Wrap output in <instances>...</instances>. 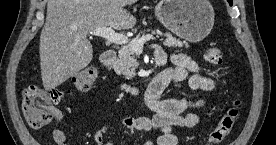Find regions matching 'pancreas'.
<instances>
[{"label": "pancreas", "instance_id": "pancreas-1", "mask_svg": "<svg viewBox=\"0 0 276 145\" xmlns=\"http://www.w3.org/2000/svg\"><path fill=\"white\" fill-rule=\"evenodd\" d=\"M150 31V30H148ZM165 40L163 42L164 46L167 47H183V45L187 44L176 39L172 34L165 33ZM139 39V36L136 37ZM118 60L114 64V70L117 74L123 75L126 79L130 80L136 76L135 68L138 66V62L135 56V50H133L130 46H123L118 52Z\"/></svg>", "mask_w": 276, "mask_h": 145}]
</instances>
